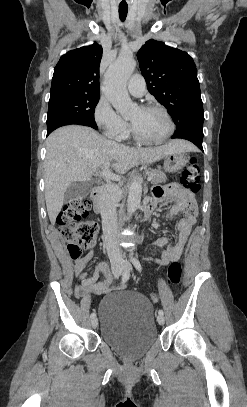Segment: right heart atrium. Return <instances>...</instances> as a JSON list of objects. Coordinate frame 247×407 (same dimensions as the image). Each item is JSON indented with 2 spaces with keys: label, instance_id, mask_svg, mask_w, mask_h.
<instances>
[{
  "label": "right heart atrium",
  "instance_id": "d8ad5b80",
  "mask_svg": "<svg viewBox=\"0 0 247 407\" xmlns=\"http://www.w3.org/2000/svg\"><path fill=\"white\" fill-rule=\"evenodd\" d=\"M96 125L108 138L121 140L127 132V122L114 110L109 100L101 96L93 110Z\"/></svg>",
  "mask_w": 247,
  "mask_h": 407
}]
</instances>
